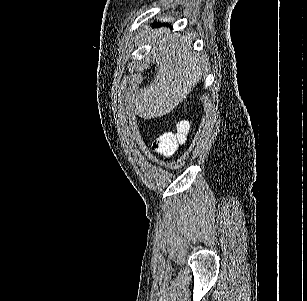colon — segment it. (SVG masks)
Wrapping results in <instances>:
<instances>
[{
  "label": "colon",
  "instance_id": "1",
  "mask_svg": "<svg viewBox=\"0 0 307 301\" xmlns=\"http://www.w3.org/2000/svg\"><path fill=\"white\" fill-rule=\"evenodd\" d=\"M189 130L187 121H180L176 133H167L157 138L153 144L154 149L164 155L172 154L184 141L185 134Z\"/></svg>",
  "mask_w": 307,
  "mask_h": 301
}]
</instances>
